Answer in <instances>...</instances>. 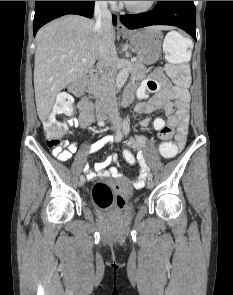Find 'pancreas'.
Returning <instances> with one entry per match:
<instances>
[{
    "mask_svg": "<svg viewBox=\"0 0 233 295\" xmlns=\"http://www.w3.org/2000/svg\"><path fill=\"white\" fill-rule=\"evenodd\" d=\"M147 68L139 59L133 64V76L135 79H142L146 77ZM107 73L101 72L90 81L89 93L97 98H102L106 92Z\"/></svg>",
    "mask_w": 233,
    "mask_h": 295,
    "instance_id": "1",
    "label": "pancreas"
}]
</instances>
